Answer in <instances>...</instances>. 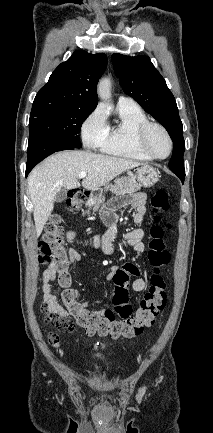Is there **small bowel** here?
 Wrapping results in <instances>:
<instances>
[{
  "mask_svg": "<svg viewBox=\"0 0 213 433\" xmlns=\"http://www.w3.org/2000/svg\"><path fill=\"white\" fill-rule=\"evenodd\" d=\"M121 206L130 205L135 208V214L133 216V222L136 225H140L144 219L146 213V195L143 193H135L132 194L128 200L120 203ZM104 222L108 225V228L95 236L93 241L91 242L92 246H100L103 253L106 255H112L115 252V248L113 246V241L118 234L117 227V217L114 213L107 212L104 215ZM77 235V232L73 229H66L63 233V240L65 242L72 241ZM124 238L129 246L133 248L136 253H143L145 251V244L143 242L144 239V231L141 228H135L131 231L124 233ZM82 255L71 249L69 251V257L66 261L67 269L75 262L81 261ZM128 268L131 273V276L136 277L132 283L131 288L135 292L143 291L147 283L146 281L139 277L140 271L137 265L135 264H125L124 266H113L111 268V272L108 276L109 280H112L114 273L120 268ZM59 277V271L54 263H51L48 268L43 273V282H42V291H43V299L47 305V309L50 315L58 316L61 318H68L69 312L66 308H64L61 303L58 301L56 295L53 290V283ZM111 309H102L99 312H104ZM49 341L55 347L59 345V339L56 334L49 335Z\"/></svg>",
  "mask_w": 213,
  "mask_h": 433,
  "instance_id": "obj_1",
  "label": "small bowel"
}]
</instances>
